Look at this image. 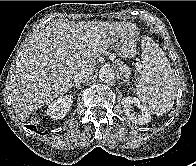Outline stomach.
I'll use <instances>...</instances> for the list:
<instances>
[{
	"label": "stomach",
	"mask_w": 196,
	"mask_h": 166,
	"mask_svg": "<svg viewBox=\"0 0 196 166\" xmlns=\"http://www.w3.org/2000/svg\"><path fill=\"white\" fill-rule=\"evenodd\" d=\"M116 51L119 56L124 58L134 57L137 52V35L136 33H128L122 37L117 45Z\"/></svg>",
	"instance_id": "stomach-1"
}]
</instances>
